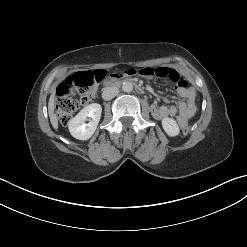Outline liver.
Listing matches in <instances>:
<instances>
[{"label": "liver", "instance_id": "6515ba94", "mask_svg": "<svg viewBox=\"0 0 247 247\" xmlns=\"http://www.w3.org/2000/svg\"><path fill=\"white\" fill-rule=\"evenodd\" d=\"M55 110V94L52 92L49 102H48V113L50 117V122L55 130L58 129V119L57 115L54 113Z\"/></svg>", "mask_w": 247, "mask_h": 247}]
</instances>
